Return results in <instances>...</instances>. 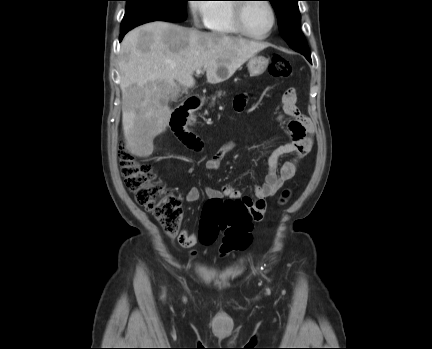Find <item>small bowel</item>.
<instances>
[{
  "mask_svg": "<svg viewBox=\"0 0 432 349\" xmlns=\"http://www.w3.org/2000/svg\"><path fill=\"white\" fill-rule=\"evenodd\" d=\"M247 103L246 95H238L234 99L233 107L235 111L244 110ZM283 113L290 117L287 126L290 139L286 143L276 148L268 158L267 173L262 185L254 189L255 198L242 196L241 192L232 185H224L221 189L211 187L205 188V193L210 200L228 199L241 200L249 206L252 219L255 222L261 221L266 212V200L275 195L285 182L290 180L296 173L297 163L303 159L311 150L313 145L314 126L311 120L301 114L296 106V93L293 88L288 89L282 97ZM283 115L279 116L282 119ZM236 146L234 141H228L221 146L207 161L206 168L215 171L220 167L225 155ZM293 154L294 159L279 165V160L283 155ZM200 190L192 187L186 194V201L193 203L199 200ZM178 243L184 248H191L197 243V234L189 230H182L177 236ZM194 255L195 252H192Z\"/></svg>",
  "mask_w": 432,
  "mask_h": 349,
  "instance_id": "obj_1",
  "label": "small bowel"
}]
</instances>
